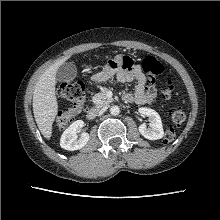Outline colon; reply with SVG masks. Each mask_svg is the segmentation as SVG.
I'll return each mask as SVG.
<instances>
[{
    "label": "colon",
    "instance_id": "colon-1",
    "mask_svg": "<svg viewBox=\"0 0 220 220\" xmlns=\"http://www.w3.org/2000/svg\"><path fill=\"white\" fill-rule=\"evenodd\" d=\"M120 65L127 69L133 65L132 60L129 57H122L119 59ZM142 70L149 77H151L152 82L155 77L160 75L163 71V65L153 56H146L142 61ZM85 85L83 82H64L58 87V94L61 98L66 100L70 104V108L61 111L57 116V126L60 129L66 128L73 121L78 119L86 111V93ZM173 93L172 82H168L166 88L163 92V96L169 99ZM170 120L174 124H180L185 119V113L180 108H173L169 113ZM175 131L173 128H169L164 136V141L166 143L172 142L175 139Z\"/></svg>",
    "mask_w": 220,
    "mask_h": 220
}]
</instances>
